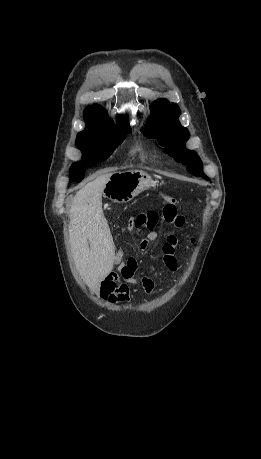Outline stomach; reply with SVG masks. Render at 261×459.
I'll return each mask as SVG.
<instances>
[{
	"instance_id": "1",
	"label": "stomach",
	"mask_w": 261,
	"mask_h": 459,
	"mask_svg": "<svg viewBox=\"0 0 261 459\" xmlns=\"http://www.w3.org/2000/svg\"><path fill=\"white\" fill-rule=\"evenodd\" d=\"M155 185L156 181L141 170L114 172L107 181L103 194L116 203H127Z\"/></svg>"
}]
</instances>
